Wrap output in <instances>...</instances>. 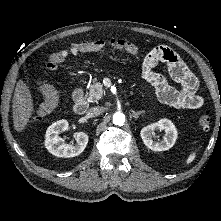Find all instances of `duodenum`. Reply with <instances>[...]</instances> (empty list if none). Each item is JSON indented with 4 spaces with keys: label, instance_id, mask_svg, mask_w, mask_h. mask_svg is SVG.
Instances as JSON below:
<instances>
[{
    "label": "duodenum",
    "instance_id": "duodenum-1",
    "mask_svg": "<svg viewBox=\"0 0 221 221\" xmlns=\"http://www.w3.org/2000/svg\"><path fill=\"white\" fill-rule=\"evenodd\" d=\"M72 97L74 100V112L79 115L84 114L88 109V102L84 96L83 90L81 88H76L72 93Z\"/></svg>",
    "mask_w": 221,
    "mask_h": 221
}]
</instances>
